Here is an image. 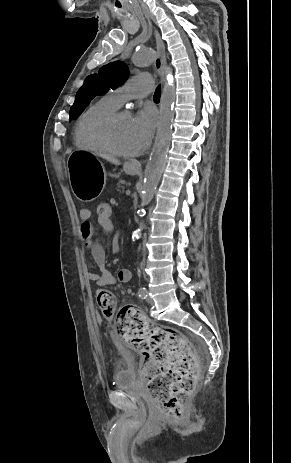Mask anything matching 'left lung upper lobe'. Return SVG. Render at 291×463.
Returning a JSON list of instances; mask_svg holds the SVG:
<instances>
[{"instance_id":"1","label":"left lung upper lobe","mask_w":291,"mask_h":463,"mask_svg":"<svg viewBox=\"0 0 291 463\" xmlns=\"http://www.w3.org/2000/svg\"><path fill=\"white\" fill-rule=\"evenodd\" d=\"M127 74V66L121 61H115L101 67L98 74L89 75L76 94L70 109V119L77 118L97 95L122 85L127 80Z\"/></svg>"}]
</instances>
